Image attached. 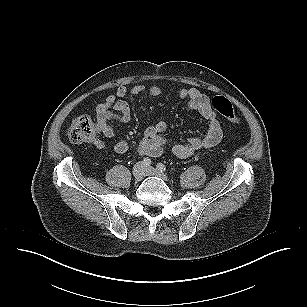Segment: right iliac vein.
Listing matches in <instances>:
<instances>
[{"label":"right iliac vein","mask_w":307,"mask_h":307,"mask_svg":"<svg viewBox=\"0 0 307 307\" xmlns=\"http://www.w3.org/2000/svg\"><path fill=\"white\" fill-rule=\"evenodd\" d=\"M133 176L136 181H141L145 176V166L142 162H138L133 167Z\"/></svg>","instance_id":"1"}]
</instances>
